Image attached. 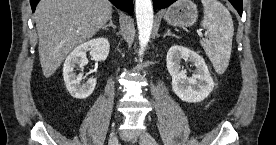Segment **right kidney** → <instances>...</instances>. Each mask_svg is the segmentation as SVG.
Wrapping results in <instances>:
<instances>
[{"label": "right kidney", "mask_w": 276, "mask_h": 145, "mask_svg": "<svg viewBox=\"0 0 276 145\" xmlns=\"http://www.w3.org/2000/svg\"><path fill=\"white\" fill-rule=\"evenodd\" d=\"M91 47V56L95 61H104L108 57L110 45L108 39L99 37L77 46L65 59L63 66V78L69 93L76 99L89 97L97 83L96 78H90L81 85L82 74L76 75L74 69L88 63L86 52Z\"/></svg>", "instance_id": "ca27d5eb"}]
</instances>
